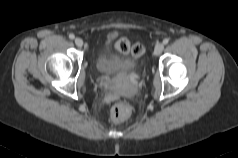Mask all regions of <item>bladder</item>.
<instances>
[{
  "mask_svg": "<svg viewBox=\"0 0 238 158\" xmlns=\"http://www.w3.org/2000/svg\"><path fill=\"white\" fill-rule=\"evenodd\" d=\"M111 44L112 38L107 37L103 43L102 50L96 57L97 70L104 75H114L135 69V61L115 55L111 51Z\"/></svg>",
  "mask_w": 238,
  "mask_h": 158,
  "instance_id": "bladder-1",
  "label": "bladder"
}]
</instances>
